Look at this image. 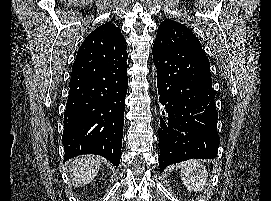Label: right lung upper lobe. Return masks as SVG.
<instances>
[{
	"label": "right lung upper lobe",
	"instance_id": "cb5924a9",
	"mask_svg": "<svg viewBox=\"0 0 271 201\" xmlns=\"http://www.w3.org/2000/svg\"><path fill=\"white\" fill-rule=\"evenodd\" d=\"M98 36H109L117 39L119 42H126L124 36L122 35L120 29L116 27L114 24L107 22L98 28H96L93 32H91L87 38L98 37Z\"/></svg>",
	"mask_w": 271,
	"mask_h": 201
}]
</instances>
